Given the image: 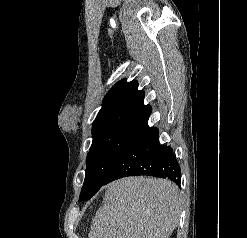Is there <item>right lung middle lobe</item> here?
<instances>
[{"label": "right lung middle lobe", "instance_id": "1", "mask_svg": "<svg viewBox=\"0 0 247 238\" xmlns=\"http://www.w3.org/2000/svg\"><path fill=\"white\" fill-rule=\"evenodd\" d=\"M145 120L119 121L93 133L80 200H88L104 185L114 164L146 126Z\"/></svg>", "mask_w": 247, "mask_h": 238}]
</instances>
